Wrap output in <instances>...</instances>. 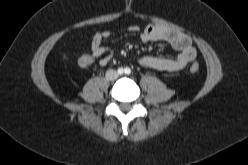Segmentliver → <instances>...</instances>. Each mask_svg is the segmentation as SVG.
Returning a JSON list of instances; mask_svg holds the SVG:
<instances>
[{"label":"liver","instance_id":"liver-1","mask_svg":"<svg viewBox=\"0 0 248 165\" xmlns=\"http://www.w3.org/2000/svg\"><path fill=\"white\" fill-rule=\"evenodd\" d=\"M63 56H64V58L66 59V55L64 54Z\"/></svg>","mask_w":248,"mask_h":165}]
</instances>
